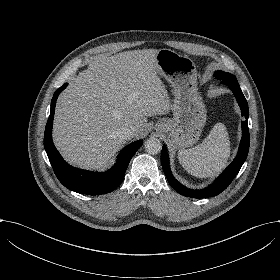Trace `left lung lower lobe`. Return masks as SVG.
Here are the masks:
<instances>
[{
	"instance_id": "1",
	"label": "left lung lower lobe",
	"mask_w": 280,
	"mask_h": 280,
	"mask_svg": "<svg viewBox=\"0 0 280 280\" xmlns=\"http://www.w3.org/2000/svg\"><path fill=\"white\" fill-rule=\"evenodd\" d=\"M221 83L230 87L233 91L236 100L241 108L242 116L245 117V120L242 121V139L240 142V147L238 154L234 161L223 171V173L215 180V182L208 188L202 190H192L188 189L182 184H180L172 175L169 167V157L167 149L165 146L162 147L161 152V163L163 171L167 177L168 183L181 195L192 197V198H207L220 194L225 190L228 185L232 182L235 176L238 174L242 164L247 158L249 151V129H248V116L249 109L248 103L240 89L236 77L233 79L227 77L221 79Z\"/></svg>"
}]
</instances>
